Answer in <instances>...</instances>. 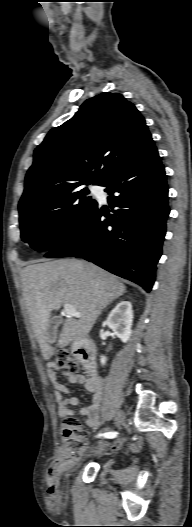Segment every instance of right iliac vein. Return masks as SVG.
Returning <instances> with one entry per match:
<instances>
[{"label":"right iliac vein","instance_id":"1","mask_svg":"<svg viewBox=\"0 0 192 527\" xmlns=\"http://www.w3.org/2000/svg\"><path fill=\"white\" fill-rule=\"evenodd\" d=\"M124 420V413L122 411H119L116 416V426L119 428L121 423Z\"/></svg>","mask_w":192,"mask_h":527}]
</instances>
